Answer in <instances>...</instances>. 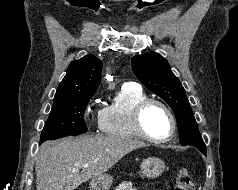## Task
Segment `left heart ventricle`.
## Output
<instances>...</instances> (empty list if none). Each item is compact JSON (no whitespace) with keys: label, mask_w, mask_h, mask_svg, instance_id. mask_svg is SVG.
Listing matches in <instances>:
<instances>
[{"label":"left heart ventricle","mask_w":238,"mask_h":190,"mask_svg":"<svg viewBox=\"0 0 238 190\" xmlns=\"http://www.w3.org/2000/svg\"><path fill=\"white\" fill-rule=\"evenodd\" d=\"M143 125L146 131L154 137H164L171 129L167 113L157 105L149 107L143 115Z\"/></svg>","instance_id":"left-heart-ventricle-1"}]
</instances>
